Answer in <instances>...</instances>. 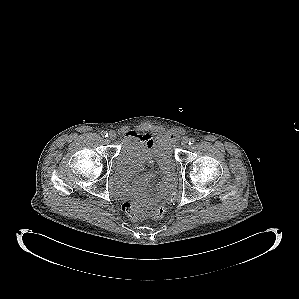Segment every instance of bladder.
<instances>
[{
    "instance_id": "1",
    "label": "bladder",
    "mask_w": 299,
    "mask_h": 299,
    "mask_svg": "<svg viewBox=\"0 0 299 299\" xmlns=\"http://www.w3.org/2000/svg\"><path fill=\"white\" fill-rule=\"evenodd\" d=\"M141 150H143V146L137 139L128 137L124 140L113 164V176L117 182L131 173L126 168V162ZM149 152L157 161L165 160L169 164H173L174 162L172 144L165 135L160 134L155 136Z\"/></svg>"
}]
</instances>
